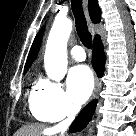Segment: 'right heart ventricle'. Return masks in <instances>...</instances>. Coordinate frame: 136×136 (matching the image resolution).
<instances>
[{
    "label": "right heart ventricle",
    "instance_id": "right-heart-ventricle-1",
    "mask_svg": "<svg viewBox=\"0 0 136 136\" xmlns=\"http://www.w3.org/2000/svg\"><path fill=\"white\" fill-rule=\"evenodd\" d=\"M29 106L32 115L39 121H49L44 112L36 104V90L29 94Z\"/></svg>",
    "mask_w": 136,
    "mask_h": 136
}]
</instances>
